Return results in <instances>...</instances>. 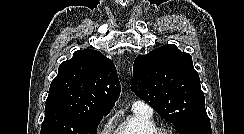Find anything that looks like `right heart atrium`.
Wrapping results in <instances>:
<instances>
[{
    "label": "right heart atrium",
    "instance_id": "right-heart-atrium-1",
    "mask_svg": "<svg viewBox=\"0 0 244 134\" xmlns=\"http://www.w3.org/2000/svg\"><path fill=\"white\" fill-rule=\"evenodd\" d=\"M109 126H110V122H107V123L104 125V127L102 128L100 134H108Z\"/></svg>",
    "mask_w": 244,
    "mask_h": 134
}]
</instances>
